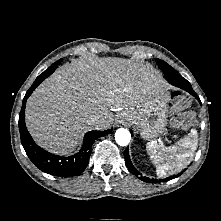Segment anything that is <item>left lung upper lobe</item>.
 <instances>
[{"label":"left lung upper lobe","mask_w":221,"mask_h":221,"mask_svg":"<svg viewBox=\"0 0 221 221\" xmlns=\"http://www.w3.org/2000/svg\"><path fill=\"white\" fill-rule=\"evenodd\" d=\"M156 63L160 67V69L163 71L165 78L168 82H173L176 80H179L182 76L169 64L164 62L163 60L156 59Z\"/></svg>","instance_id":"1"}]
</instances>
